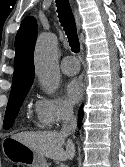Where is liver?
I'll return each mask as SVG.
<instances>
[{"label": "liver", "mask_w": 125, "mask_h": 167, "mask_svg": "<svg viewBox=\"0 0 125 167\" xmlns=\"http://www.w3.org/2000/svg\"><path fill=\"white\" fill-rule=\"evenodd\" d=\"M12 138L53 160L65 161L72 159L75 154V147L71 140L67 141L66 150H64L66 136L59 132H20Z\"/></svg>", "instance_id": "liver-1"}]
</instances>
